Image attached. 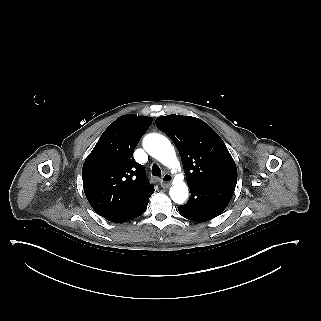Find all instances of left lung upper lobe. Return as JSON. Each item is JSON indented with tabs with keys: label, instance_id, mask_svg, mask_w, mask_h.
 <instances>
[{
	"label": "left lung upper lobe",
	"instance_id": "1",
	"mask_svg": "<svg viewBox=\"0 0 321 321\" xmlns=\"http://www.w3.org/2000/svg\"><path fill=\"white\" fill-rule=\"evenodd\" d=\"M155 122L178 148L188 185L237 180L231 154L208 124L195 117L175 114L158 117Z\"/></svg>",
	"mask_w": 321,
	"mask_h": 321
}]
</instances>
